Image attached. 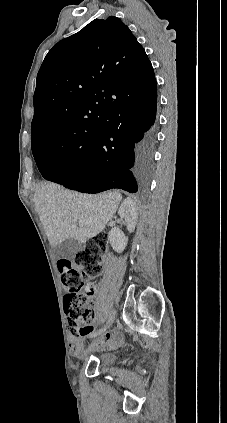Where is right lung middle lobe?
<instances>
[{"label":"right lung middle lobe","instance_id":"right-lung-middle-lobe-1","mask_svg":"<svg viewBox=\"0 0 227 423\" xmlns=\"http://www.w3.org/2000/svg\"><path fill=\"white\" fill-rule=\"evenodd\" d=\"M95 146V140L74 144L59 137H43L32 143V153L41 175L53 181L67 172H72L78 161Z\"/></svg>","mask_w":227,"mask_h":423}]
</instances>
